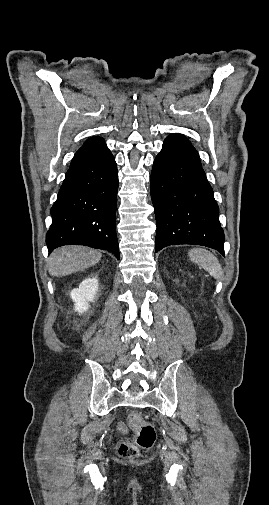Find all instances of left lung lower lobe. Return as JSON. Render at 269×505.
Returning <instances> with one entry per match:
<instances>
[{"instance_id":"0a47b994","label":"left lung lower lobe","mask_w":269,"mask_h":505,"mask_svg":"<svg viewBox=\"0 0 269 505\" xmlns=\"http://www.w3.org/2000/svg\"><path fill=\"white\" fill-rule=\"evenodd\" d=\"M157 233L155 252L169 245L194 244L224 256V233L213 190L196 149L181 134L169 135L151 173Z\"/></svg>"}]
</instances>
